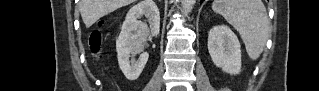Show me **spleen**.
<instances>
[{
    "mask_svg": "<svg viewBox=\"0 0 319 91\" xmlns=\"http://www.w3.org/2000/svg\"><path fill=\"white\" fill-rule=\"evenodd\" d=\"M212 9L240 34L252 60L259 58L269 36V20L261 0H215Z\"/></svg>",
    "mask_w": 319,
    "mask_h": 91,
    "instance_id": "obj_1",
    "label": "spleen"
}]
</instances>
